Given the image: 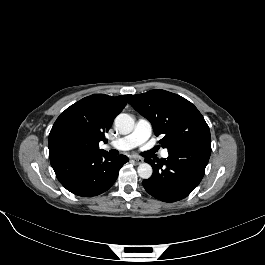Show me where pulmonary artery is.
Masks as SVG:
<instances>
[{"label": "pulmonary artery", "instance_id": "1", "mask_svg": "<svg viewBox=\"0 0 265 265\" xmlns=\"http://www.w3.org/2000/svg\"><path fill=\"white\" fill-rule=\"evenodd\" d=\"M151 132V123L146 119H139L136 123L134 131L131 134L114 140L110 142L109 145L120 151L130 150L146 142L149 139ZM162 157L167 158L168 152L163 151Z\"/></svg>", "mask_w": 265, "mask_h": 265}]
</instances>
